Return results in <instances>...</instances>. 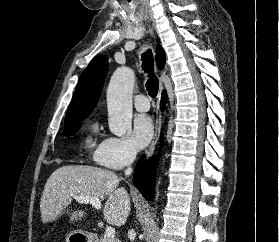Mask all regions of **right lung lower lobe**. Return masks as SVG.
<instances>
[{
    "mask_svg": "<svg viewBox=\"0 0 279 242\" xmlns=\"http://www.w3.org/2000/svg\"><path fill=\"white\" fill-rule=\"evenodd\" d=\"M162 95L161 108L163 109L167 99L166 92L164 91ZM158 159L159 156L146 162L145 155H142L137 162L133 175V183L135 187L146 199L151 201L154 200L156 168Z\"/></svg>",
    "mask_w": 279,
    "mask_h": 242,
    "instance_id": "1",
    "label": "right lung lower lobe"
}]
</instances>
